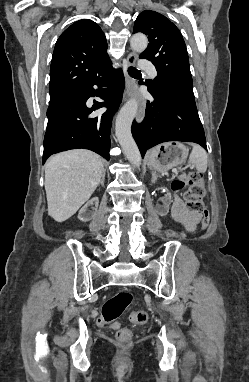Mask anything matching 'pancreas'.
Wrapping results in <instances>:
<instances>
[{
  "label": "pancreas",
  "mask_w": 249,
  "mask_h": 382,
  "mask_svg": "<svg viewBox=\"0 0 249 382\" xmlns=\"http://www.w3.org/2000/svg\"><path fill=\"white\" fill-rule=\"evenodd\" d=\"M181 178H185V176L183 175Z\"/></svg>",
  "instance_id": "cf45deb5"
}]
</instances>
